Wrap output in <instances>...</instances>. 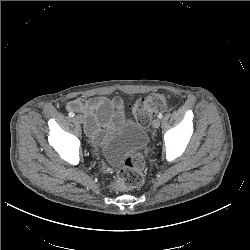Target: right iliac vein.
Returning a JSON list of instances; mask_svg holds the SVG:
<instances>
[{"label": "right iliac vein", "instance_id": "1", "mask_svg": "<svg viewBox=\"0 0 250 250\" xmlns=\"http://www.w3.org/2000/svg\"><path fill=\"white\" fill-rule=\"evenodd\" d=\"M78 123H84V118L82 115H76L74 118Z\"/></svg>", "mask_w": 250, "mask_h": 250}]
</instances>
